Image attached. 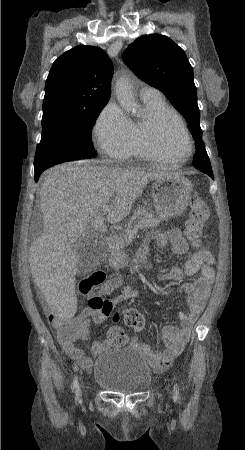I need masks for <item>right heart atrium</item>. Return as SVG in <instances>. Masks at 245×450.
<instances>
[{
    "mask_svg": "<svg viewBox=\"0 0 245 450\" xmlns=\"http://www.w3.org/2000/svg\"><path fill=\"white\" fill-rule=\"evenodd\" d=\"M94 142L106 157L124 161L133 149V122L115 102H109L93 128Z\"/></svg>",
    "mask_w": 245,
    "mask_h": 450,
    "instance_id": "right-heart-atrium-1",
    "label": "right heart atrium"
}]
</instances>
